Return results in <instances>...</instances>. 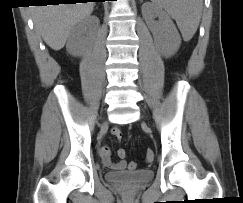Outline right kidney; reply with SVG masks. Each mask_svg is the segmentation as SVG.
Segmentation results:
<instances>
[{
    "mask_svg": "<svg viewBox=\"0 0 243 203\" xmlns=\"http://www.w3.org/2000/svg\"><path fill=\"white\" fill-rule=\"evenodd\" d=\"M99 27V19L96 16H89L80 21L72 28L66 44L67 51L74 55H82L87 48L88 40L86 36L94 37Z\"/></svg>",
    "mask_w": 243,
    "mask_h": 203,
    "instance_id": "ca27d5eb",
    "label": "right kidney"
}]
</instances>
